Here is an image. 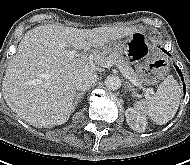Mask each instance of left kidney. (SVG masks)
<instances>
[{"instance_id": "obj_1", "label": "left kidney", "mask_w": 190, "mask_h": 165, "mask_svg": "<svg viewBox=\"0 0 190 165\" xmlns=\"http://www.w3.org/2000/svg\"><path fill=\"white\" fill-rule=\"evenodd\" d=\"M126 121L131 129L142 133L147 128V118L133 108H128L125 112Z\"/></svg>"}]
</instances>
